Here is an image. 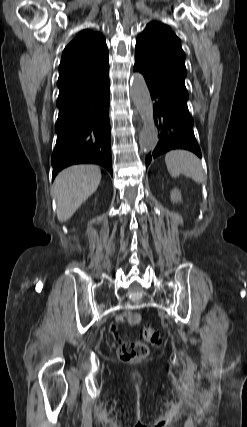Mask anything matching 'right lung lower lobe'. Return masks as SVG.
<instances>
[{"instance_id": "98d812e1", "label": "right lung lower lobe", "mask_w": 247, "mask_h": 427, "mask_svg": "<svg viewBox=\"0 0 247 427\" xmlns=\"http://www.w3.org/2000/svg\"><path fill=\"white\" fill-rule=\"evenodd\" d=\"M109 77L57 99L56 146L52 178L63 168L80 163L104 166L112 175L109 122Z\"/></svg>"}]
</instances>
